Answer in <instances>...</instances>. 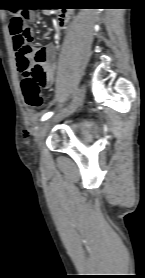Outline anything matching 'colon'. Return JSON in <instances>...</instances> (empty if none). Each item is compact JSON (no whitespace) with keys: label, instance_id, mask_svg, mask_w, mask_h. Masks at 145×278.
Segmentation results:
<instances>
[{"label":"colon","instance_id":"5ec220e1","mask_svg":"<svg viewBox=\"0 0 145 278\" xmlns=\"http://www.w3.org/2000/svg\"><path fill=\"white\" fill-rule=\"evenodd\" d=\"M31 13L24 8L16 12L10 21V34L13 37V44L16 46L18 54L31 56L32 50L27 44L28 32L26 29V21L30 18ZM46 73L42 62L36 64L24 74L21 83V89L24 99L28 106L38 108L43 103L41 86L45 82Z\"/></svg>","mask_w":145,"mask_h":278}]
</instances>
